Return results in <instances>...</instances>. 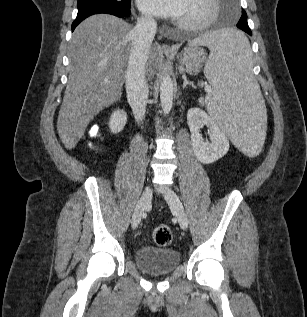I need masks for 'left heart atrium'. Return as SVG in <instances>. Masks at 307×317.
<instances>
[{
	"label": "left heart atrium",
	"mask_w": 307,
	"mask_h": 317,
	"mask_svg": "<svg viewBox=\"0 0 307 317\" xmlns=\"http://www.w3.org/2000/svg\"><path fill=\"white\" fill-rule=\"evenodd\" d=\"M138 7L148 15L156 17H180L188 0H137Z\"/></svg>",
	"instance_id": "39dd6f15"
}]
</instances>
